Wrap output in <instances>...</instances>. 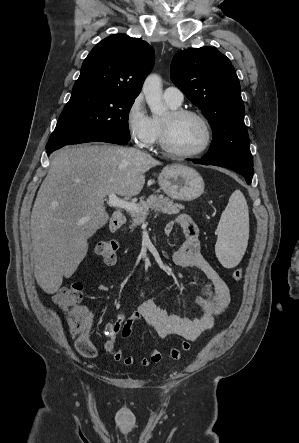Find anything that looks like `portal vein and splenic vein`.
<instances>
[{
  "instance_id": "portal-vein-and-splenic-vein-1",
  "label": "portal vein and splenic vein",
  "mask_w": 299,
  "mask_h": 443,
  "mask_svg": "<svg viewBox=\"0 0 299 443\" xmlns=\"http://www.w3.org/2000/svg\"><path fill=\"white\" fill-rule=\"evenodd\" d=\"M109 199L107 201V204L111 207H116L120 209H124L127 211H137V205L135 203L128 202L126 200H123L119 197H117L116 194L110 193L108 195Z\"/></svg>"
}]
</instances>
